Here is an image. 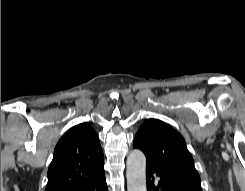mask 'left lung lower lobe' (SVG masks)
Masks as SVG:
<instances>
[{"label":"left lung lower lobe","instance_id":"1","mask_svg":"<svg viewBox=\"0 0 245 191\" xmlns=\"http://www.w3.org/2000/svg\"><path fill=\"white\" fill-rule=\"evenodd\" d=\"M146 178L148 191H200L188 188L187 186L176 182L174 179L146 167ZM154 181L158 182V187L154 186Z\"/></svg>","mask_w":245,"mask_h":191}]
</instances>
